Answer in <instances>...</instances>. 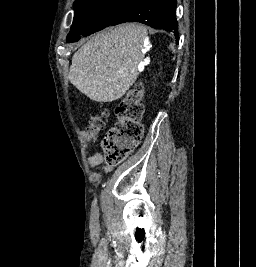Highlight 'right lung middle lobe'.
Listing matches in <instances>:
<instances>
[{"label":"right lung middle lobe","instance_id":"dd1d6c3e","mask_svg":"<svg viewBox=\"0 0 256 267\" xmlns=\"http://www.w3.org/2000/svg\"><path fill=\"white\" fill-rule=\"evenodd\" d=\"M139 0H76L67 42H76L114 23Z\"/></svg>","mask_w":256,"mask_h":267}]
</instances>
